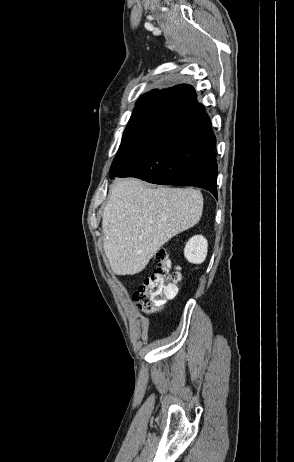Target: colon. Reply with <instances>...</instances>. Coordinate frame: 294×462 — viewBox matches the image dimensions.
<instances>
[{
  "instance_id": "obj_1",
  "label": "colon",
  "mask_w": 294,
  "mask_h": 462,
  "mask_svg": "<svg viewBox=\"0 0 294 462\" xmlns=\"http://www.w3.org/2000/svg\"><path fill=\"white\" fill-rule=\"evenodd\" d=\"M155 260L154 272L133 294L135 306L146 314L161 310L166 300L176 297L181 281L179 268L172 265L165 250H160Z\"/></svg>"
}]
</instances>
